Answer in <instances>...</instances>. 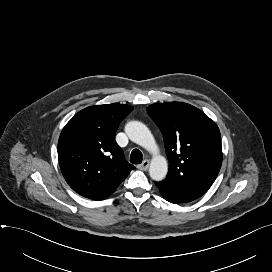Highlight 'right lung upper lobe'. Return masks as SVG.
<instances>
[{
  "label": "right lung upper lobe",
  "instance_id": "cb5924a9",
  "mask_svg": "<svg viewBox=\"0 0 272 272\" xmlns=\"http://www.w3.org/2000/svg\"><path fill=\"white\" fill-rule=\"evenodd\" d=\"M133 110L118 103L87 107L63 128L58 141L61 172L78 194L108 198L135 167L115 141L120 122Z\"/></svg>",
  "mask_w": 272,
  "mask_h": 272
}]
</instances>
